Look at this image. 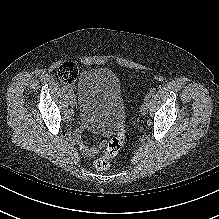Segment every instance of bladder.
<instances>
[{
	"label": "bladder",
	"instance_id": "bladder-1",
	"mask_svg": "<svg viewBox=\"0 0 219 219\" xmlns=\"http://www.w3.org/2000/svg\"><path fill=\"white\" fill-rule=\"evenodd\" d=\"M81 120L113 131L125 118V105L116 74L107 68L84 71L77 82Z\"/></svg>",
	"mask_w": 219,
	"mask_h": 219
}]
</instances>
